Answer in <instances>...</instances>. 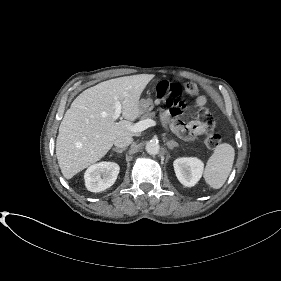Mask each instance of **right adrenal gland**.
<instances>
[{
    "label": "right adrenal gland",
    "instance_id": "2a0ac1e0",
    "mask_svg": "<svg viewBox=\"0 0 281 281\" xmlns=\"http://www.w3.org/2000/svg\"><path fill=\"white\" fill-rule=\"evenodd\" d=\"M112 150L117 153H122L123 151H125V149H118V148H113Z\"/></svg>",
    "mask_w": 281,
    "mask_h": 281
}]
</instances>
